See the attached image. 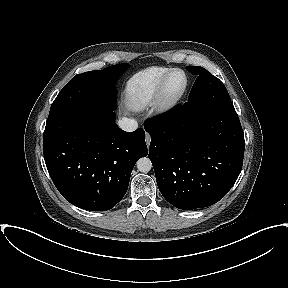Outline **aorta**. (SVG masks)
I'll use <instances>...</instances> for the list:
<instances>
[{
    "label": "aorta",
    "mask_w": 288,
    "mask_h": 288,
    "mask_svg": "<svg viewBox=\"0 0 288 288\" xmlns=\"http://www.w3.org/2000/svg\"><path fill=\"white\" fill-rule=\"evenodd\" d=\"M137 169L140 172L147 173L152 168V163L148 157H142L137 161Z\"/></svg>",
    "instance_id": "762f6f07"
}]
</instances>
